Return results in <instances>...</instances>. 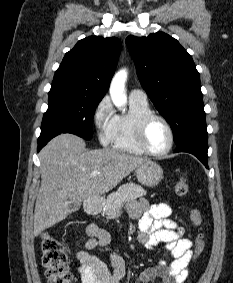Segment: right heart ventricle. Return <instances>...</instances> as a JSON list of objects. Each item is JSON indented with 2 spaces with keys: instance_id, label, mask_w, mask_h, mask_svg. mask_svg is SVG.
I'll return each mask as SVG.
<instances>
[{
  "instance_id": "e07e8e85",
  "label": "right heart ventricle",
  "mask_w": 233,
  "mask_h": 283,
  "mask_svg": "<svg viewBox=\"0 0 233 283\" xmlns=\"http://www.w3.org/2000/svg\"><path fill=\"white\" fill-rule=\"evenodd\" d=\"M148 103L130 101V110L127 113L116 115L113 129L112 147L120 152L142 155L134 138L135 123L142 115L150 113Z\"/></svg>"
}]
</instances>
